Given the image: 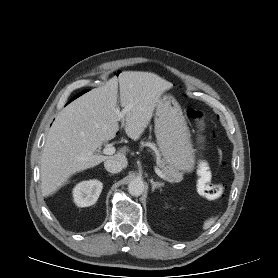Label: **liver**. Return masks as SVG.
I'll list each match as a JSON object with an SVG mask.
<instances>
[{
    "instance_id": "liver-1",
    "label": "liver",
    "mask_w": 278,
    "mask_h": 278,
    "mask_svg": "<svg viewBox=\"0 0 278 278\" xmlns=\"http://www.w3.org/2000/svg\"><path fill=\"white\" fill-rule=\"evenodd\" d=\"M118 85L124 114L123 126L129 138L136 141L147 128L161 95L172 84L156 74L124 71L105 85L77 98L55 118L46 138L42 165V193L50 196L64 186L69 178L83 170L112 159L123 168L128 165L127 147L112 156L94 152L119 131L117 111Z\"/></svg>"
}]
</instances>
